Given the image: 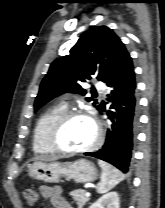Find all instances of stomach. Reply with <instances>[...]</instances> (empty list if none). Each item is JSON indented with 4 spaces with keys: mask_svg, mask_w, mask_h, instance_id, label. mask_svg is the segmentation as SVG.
Wrapping results in <instances>:
<instances>
[{
    "mask_svg": "<svg viewBox=\"0 0 165 208\" xmlns=\"http://www.w3.org/2000/svg\"><path fill=\"white\" fill-rule=\"evenodd\" d=\"M28 175L46 183H57L62 177L76 183H90L98 177L95 165L86 159L65 163L36 161L29 166Z\"/></svg>",
    "mask_w": 165,
    "mask_h": 208,
    "instance_id": "0dacf381",
    "label": "stomach"
}]
</instances>
